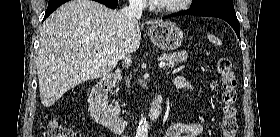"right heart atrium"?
I'll list each match as a JSON object with an SVG mask.
<instances>
[{"mask_svg":"<svg viewBox=\"0 0 280 137\" xmlns=\"http://www.w3.org/2000/svg\"><path fill=\"white\" fill-rule=\"evenodd\" d=\"M135 5L139 7H143L145 5L144 0H135Z\"/></svg>","mask_w":280,"mask_h":137,"instance_id":"obj_1","label":"right heart atrium"}]
</instances>
